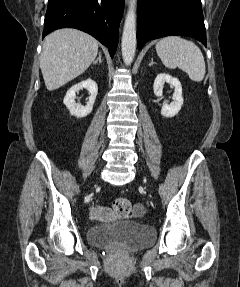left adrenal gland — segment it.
Returning a JSON list of instances; mask_svg holds the SVG:
<instances>
[{"label": "left adrenal gland", "instance_id": "obj_1", "mask_svg": "<svg viewBox=\"0 0 240 287\" xmlns=\"http://www.w3.org/2000/svg\"><path fill=\"white\" fill-rule=\"evenodd\" d=\"M154 64V59L151 58V62L149 63V66L153 65Z\"/></svg>", "mask_w": 240, "mask_h": 287}]
</instances>
